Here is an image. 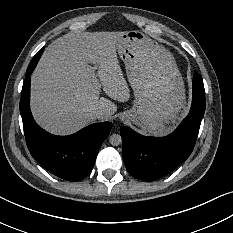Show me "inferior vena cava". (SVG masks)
I'll use <instances>...</instances> for the list:
<instances>
[{
    "label": "inferior vena cava",
    "mask_w": 233,
    "mask_h": 233,
    "mask_svg": "<svg viewBox=\"0 0 233 233\" xmlns=\"http://www.w3.org/2000/svg\"><path fill=\"white\" fill-rule=\"evenodd\" d=\"M104 115H105V112H104L103 109H98V110H96V111L94 112V117H95L96 119H101V118H103Z\"/></svg>",
    "instance_id": "inferior-vena-cava-1"
}]
</instances>
